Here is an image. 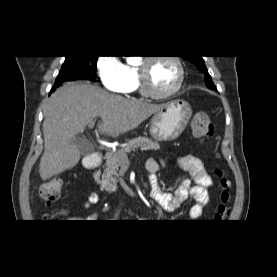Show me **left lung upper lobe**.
<instances>
[{
	"label": "left lung upper lobe",
	"instance_id": "left-lung-upper-lobe-1",
	"mask_svg": "<svg viewBox=\"0 0 277 277\" xmlns=\"http://www.w3.org/2000/svg\"><path fill=\"white\" fill-rule=\"evenodd\" d=\"M185 59L189 60L191 63L197 65L198 67L201 68V71L204 72V77H205V83L210 89L216 88L215 85L212 82L211 76L207 72V68L204 64V60L202 56H183Z\"/></svg>",
	"mask_w": 277,
	"mask_h": 277
}]
</instances>
